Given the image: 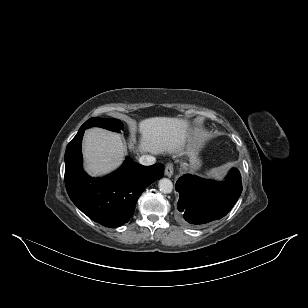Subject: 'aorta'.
<instances>
[{
	"label": "aorta",
	"instance_id": "1",
	"mask_svg": "<svg viewBox=\"0 0 308 308\" xmlns=\"http://www.w3.org/2000/svg\"><path fill=\"white\" fill-rule=\"evenodd\" d=\"M158 186H159V190L165 194L171 193L173 190V183L171 182V180L167 178H162L159 181Z\"/></svg>",
	"mask_w": 308,
	"mask_h": 308
}]
</instances>
